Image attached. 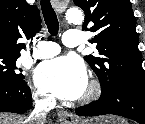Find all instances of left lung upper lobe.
Wrapping results in <instances>:
<instances>
[{
  "mask_svg": "<svg viewBox=\"0 0 145 124\" xmlns=\"http://www.w3.org/2000/svg\"><path fill=\"white\" fill-rule=\"evenodd\" d=\"M85 12L83 30L95 32L100 56L84 59L96 73L101 95L121 84L145 88L142 58L138 49L136 19L130 0H74Z\"/></svg>",
  "mask_w": 145,
  "mask_h": 124,
  "instance_id": "5c2ea615",
  "label": "left lung upper lobe"
}]
</instances>
